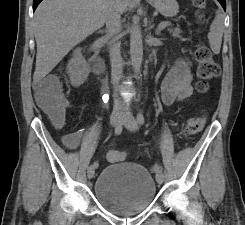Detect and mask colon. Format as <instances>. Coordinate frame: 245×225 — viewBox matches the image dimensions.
I'll list each match as a JSON object with an SVG mask.
<instances>
[{
	"mask_svg": "<svg viewBox=\"0 0 245 225\" xmlns=\"http://www.w3.org/2000/svg\"><path fill=\"white\" fill-rule=\"evenodd\" d=\"M196 9L200 12L205 7V0H193ZM194 58L198 66L200 82L198 89L206 92L209 88L208 82L217 78L219 75V66L213 59L210 49L206 45H198ZM36 100L38 104L52 115L59 116L68 107L66 98L62 92V83L59 79L45 78L36 91ZM205 124V117L189 118L185 128V136L189 137L199 133ZM69 141L68 138L65 139Z\"/></svg>",
	"mask_w": 245,
	"mask_h": 225,
	"instance_id": "5ec220e1",
	"label": "colon"
}]
</instances>
